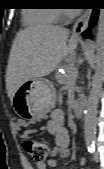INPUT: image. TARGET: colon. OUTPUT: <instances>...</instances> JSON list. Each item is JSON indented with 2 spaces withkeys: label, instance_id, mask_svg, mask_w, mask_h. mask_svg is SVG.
I'll list each match as a JSON object with an SVG mask.
<instances>
[{
  "label": "colon",
  "instance_id": "obj_1",
  "mask_svg": "<svg viewBox=\"0 0 104 169\" xmlns=\"http://www.w3.org/2000/svg\"><path fill=\"white\" fill-rule=\"evenodd\" d=\"M24 150L38 162L44 161L50 153L51 146L48 140L24 132L22 135Z\"/></svg>",
  "mask_w": 104,
  "mask_h": 169
}]
</instances>
